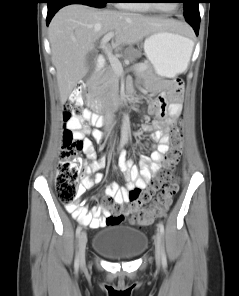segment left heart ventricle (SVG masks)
I'll return each mask as SVG.
<instances>
[{
  "mask_svg": "<svg viewBox=\"0 0 239 296\" xmlns=\"http://www.w3.org/2000/svg\"><path fill=\"white\" fill-rule=\"evenodd\" d=\"M161 9L169 11V10H173L174 7L176 6L175 3H170L167 1H161V0H157L156 3Z\"/></svg>",
  "mask_w": 239,
  "mask_h": 296,
  "instance_id": "1",
  "label": "left heart ventricle"
}]
</instances>
